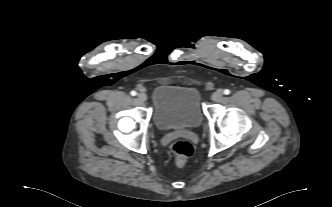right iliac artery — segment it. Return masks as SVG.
Instances as JSON below:
<instances>
[{
    "instance_id": "82829eb1",
    "label": "right iliac artery",
    "mask_w": 332,
    "mask_h": 207,
    "mask_svg": "<svg viewBox=\"0 0 332 207\" xmlns=\"http://www.w3.org/2000/svg\"><path fill=\"white\" fill-rule=\"evenodd\" d=\"M132 96H136V91H131V93H130Z\"/></svg>"
}]
</instances>
